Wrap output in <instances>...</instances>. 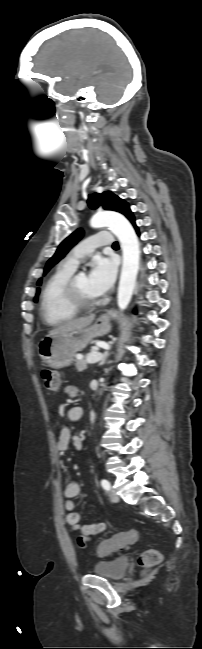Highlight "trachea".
I'll return each instance as SVG.
<instances>
[{"mask_svg": "<svg viewBox=\"0 0 202 649\" xmlns=\"http://www.w3.org/2000/svg\"><path fill=\"white\" fill-rule=\"evenodd\" d=\"M117 246H118V243H117V242H114V243H113V247H117Z\"/></svg>", "mask_w": 202, "mask_h": 649, "instance_id": "3493384b", "label": "trachea"}]
</instances>
